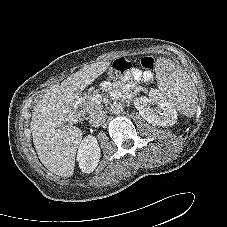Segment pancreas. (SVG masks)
Segmentation results:
<instances>
[{"label":"pancreas","instance_id":"pancreas-1","mask_svg":"<svg viewBox=\"0 0 227 227\" xmlns=\"http://www.w3.org/2000/svg\"><path fill=\"white\" fill-rule=\"evenodd\" d=\"M95 94H97V93L90 95L88 97V99L86 101H84V103L82 104V108H83L84 112L92 113L95 110H98L101 108V102H100V100H97L95 98Z\"/></svg>","mask_w":227,"mask_h":227}]
</instances>
